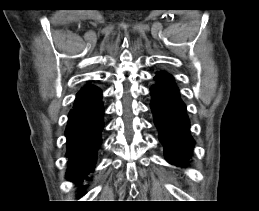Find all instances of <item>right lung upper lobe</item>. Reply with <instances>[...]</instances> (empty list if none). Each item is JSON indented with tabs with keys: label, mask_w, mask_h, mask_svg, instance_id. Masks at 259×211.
Returning <instances> with one entry per match:
<instances>
[{
	"label": "right lung upper lobe",
	"mask_w": 259,
	"mask_h": 211,
	"mask_svg": "<svg viewBox=\"0 0 259 211\" xmlns=\"http://www.w3.org/2000/svg\"><path fill=\"white\" fill-rule=\"evenodd\" d=\"M90 85H87L85 88L89 87ZM85 88H82L81 90L85 89Z\"/></svg>",
	"instance_id": "1"
}]
</instances>
